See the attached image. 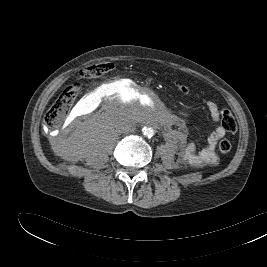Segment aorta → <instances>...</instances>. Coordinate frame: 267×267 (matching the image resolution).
Here are the masks:
<instances>
[{"mask_svg": "<svg viewBox=\"0 0 267 267\" xmlns=\"http://www.w3.org/2000/svg\"><path fill=\"white\" fill-rule=\"evenodd\" d=\"M142 133L145 137L151 138L154 135V130L151 127H144Z\"/></svg>", "mask_w": 267, "mask_h": 267, "instance_id": "762f6f07", "label": "aorta"}]
</instances>
